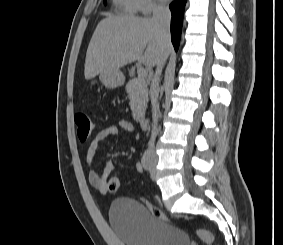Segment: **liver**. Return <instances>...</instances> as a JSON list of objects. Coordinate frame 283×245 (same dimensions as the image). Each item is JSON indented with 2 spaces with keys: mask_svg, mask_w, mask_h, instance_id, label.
<instances>
[{
  "mask_svg": "<svg viewBox=\"0 0 283 245\" xmlns=\"http://www.w3.org/2000/svg\"><path fill=\"white\" fill-rule=\"evenodd\" d=\"M171 42H164L160 26L152 18L108 15L97 25L85 59L86 80L105 69H119L138 60L148 67L168 57Z\"/></svg>",
  "mask_w": 283,
  "mask_h": 245,
  "instance_id": "obj_1",
  "label": "liver"
}]
</instances>
